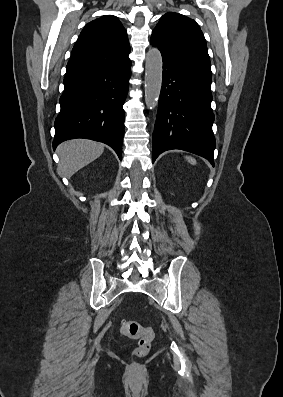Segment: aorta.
I'll return each mask as SVG.
<instances>
[{
	"instance_id": "1",
	"label": "aorta",
	"mask_w": 283,
	"mask_h": 397,
	"mask_svg": "<svg viewBox=\"0 0 283 397\" xmlns=\"http://www.w3.org/2000/svg\"><path fill=\"white\" fill-rule=\"evenodd\" d=\"M162 56L157 48H150L145 63V103L148 108L158 104L162 85Z\"/></svg>"
}]
</instances>
